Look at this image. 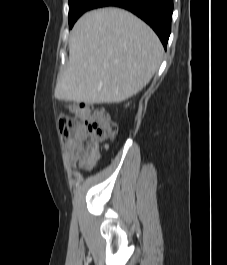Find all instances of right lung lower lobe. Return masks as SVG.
<instances>
[{
  "mask_svg": "<svg viewBox=\"0 0 227 265\" xmlns=\"http://www.w3.org/2000/svg\"><path fill=\"white\" fill-rule=\"evenodd\" d=\"M106 6L124 8L144 20L166 49L171 32L173 0H96L91 9Z\"/></svg>",
  "mask_w": 227,
  "mask_h": 265,
  "instance_id": "obj_1",
  "label": "right lung lower lobe"
}]
</instances>
